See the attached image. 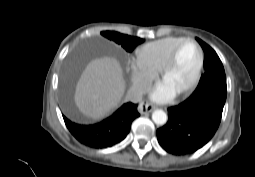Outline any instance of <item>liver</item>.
<instances>
[{"label": "liver", "instance_id": "1", "mask_svg": "<svg viewBox=\"0 0 255 177\" xmlns=\"http://www.w3.org/2000/svg\"><path fill=\"white\" fill-rule=\"evenodd\" d=\"M124 92L125 81L119 62L104 56L86 66L76 84L74 100L84 116L98 120L118 106Z\"/></svg>", "mask_w": 255, "mask_h": 177}]
</instances>
